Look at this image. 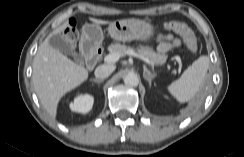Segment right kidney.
Wrapping results in <instances>:
<instances>
[{"label": "right kidney", "mask_w": 244, "mask_h": 157, "mask_svg": "<svg viewBox=\"0 0 244 157\" xmlns=\"http://www.w3.org/2000/svg\"><path fill=\"white\" fill-rule=\"evenodd\" d=\"M93 103L94 97L92 95H79L70 103V109L73 112L86 114L92 109Z\"/></svg>", "instance_id": "ca27d5eb"}]
</instances>
